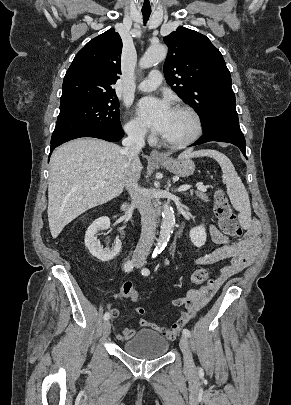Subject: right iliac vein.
<instances>
[{"mask_svg":"<svg viewBox=\"0 0 291 405\" xmlns=\"http://www.w3.org/2000/svg\"><path fill=\"white\" fill-rule=\"evenodd\" d=\"M110 331H111V324L108 320H106L103 324V336L104 337L109 336Z\"/></svg>","mask_w":291,"mask_h":405,"instance_id":"1","label":"right iliac vein"}]
</instances>
